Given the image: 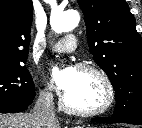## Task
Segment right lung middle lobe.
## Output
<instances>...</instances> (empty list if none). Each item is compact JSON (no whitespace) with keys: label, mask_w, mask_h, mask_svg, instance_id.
I'll list each match as a JSON object with an SVG mask.
<instances>
[{"label":"right lung middle lobe","mask_w":142,"mask_h":128,"mask_svg":"<svg viewBox=\"0 0 142 128\" xmlns=\"http://www.w3.org/2000/svg\"><path fill=\"white\" fill-rule=\"evenodd\" d=\"M34 97V82L26 66H0V103L30 105Z\"/></svg>","instance_id":"right-lung-middle-lobe-1"}]
</instances>
